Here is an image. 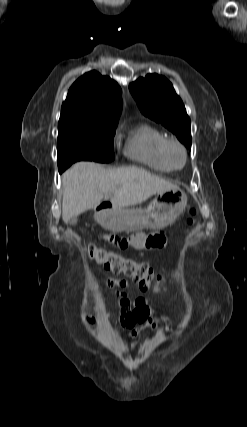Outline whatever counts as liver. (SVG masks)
I'll use <instances>...</instances> for the list:
<instances>
[{"label": "liver", "mask_w": 247, "mask_h": 427, "mask_svg": "<svg viewBox=\"0 0 247 427\" xmlns=\"http://www.w3.org/2000/svg\"><path fill=\"white\" fill-rule=\"evenodd\" d=\"M64 222L111 199L113 208L123 210L149 197L177 188L175 184L138 167L107 169L94 162H78L62 176Z\"/></svg>", "instance_id": "6515ba94"}]
</instances>
